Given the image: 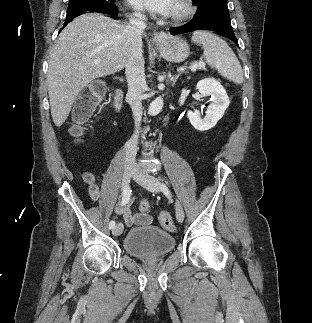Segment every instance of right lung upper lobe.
Segmentation results:
<instances>
[{
  "label": "right lung upper lobe",
  "instance_id": "obj_1",
  "mask_svg": "<svg viewBox=\"0 0 312 323\" xmlns=\"http://www.w3.org/2000/svg\"><path fill=\"white\" fill-rule=\"evenodd\" d=\"M91 10H92V9H91ZM91 10H85V11H91ZM85 11H82V12H85ZM82 12H78L77 14L82 13Z\"/></svg>",
  "mask_w": 312,
  "mask_h": 323
}]
</instances>
